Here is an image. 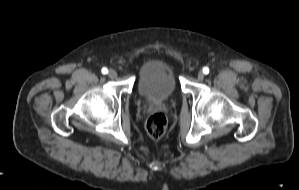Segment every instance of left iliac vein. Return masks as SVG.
Wrapping results in <instances>:
<instances>
[{
	"mask_svg": "<svg viewBox=\"0 0 299 190\" xmlns=\"http://www.w3.org/2000/svg\"><path fill=\"white\" fill-rule=\"evenodd\" d=\"M205 75L202 71H199L197 74V78L199 81H202L204 79Z\"/></svg>",
	"mask_w": 299,
	"mask_h": 190,
	"instance_id": "4c4485c4",
	"label": "left iliac vein"
}]
</instances>
